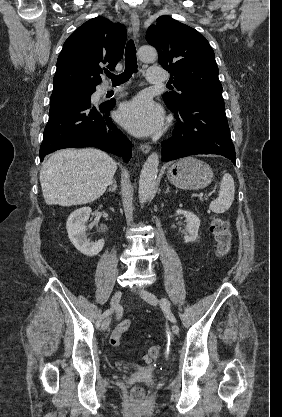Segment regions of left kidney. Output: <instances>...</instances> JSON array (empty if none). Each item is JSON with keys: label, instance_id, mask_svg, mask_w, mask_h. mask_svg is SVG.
I'll use <instances>...</instances> for the list:
<instances>
[{"label": "left kidney", "instance_id": "obj_1", "mask_svg": "<svg viewBox=\"0 0 282 417\" xmlns=\"http://www.w3.org/2000/svg\"><path fill=\"white\" fill-rule=\"evenodd\" d=\"M177 215H184L186 217V229L184 233V243H193L198 237V231L200 227V219L194 213L190 211H182V209H177L175 217Z\"/></svg>", "mask_w": 282, "mask_h": 417}]
</instances>
